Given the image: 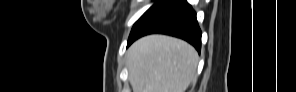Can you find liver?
<instances>
[{"label":"liver","instance_id":"obj_1","mask_svg":"<svg viewBox=\"0 0 296 92\" xmlns=\"http://www.w3.org/2000/svg\"><path fill=\"white\" fill-rule=\"evenodd\" d=\"M199 56L187 42L148 35L127 51L129 81L133 92H185L196 79Z\"/></svg>","mask_w":296,"mask_h":92}]
</instances>
